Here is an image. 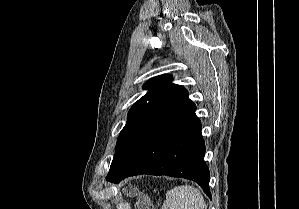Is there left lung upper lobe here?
<instances>
[{
    "instance_id": "left-lung-upper-lobe-1",
    "label": "left lung upper lobe",
    "mask_w": 299,
    "mask_h": 209,
    "mask_svg": "<svg viewBox=\"0 0 299 209\" xmlns=\"http://www.w3.org/2000/svg\"><path fill=\"white\" fill-rule=\"evenodd\" d=\"M170 75H160L150 79L144 84V89L149 91L135 102L128 112V120L119 134L116 144V157L119 149L129 136L158 108L174 98L184 87L171 83ZM113 158V160H114ZM113 162V161H112Z\"/></svg>"
}]
</instances>
